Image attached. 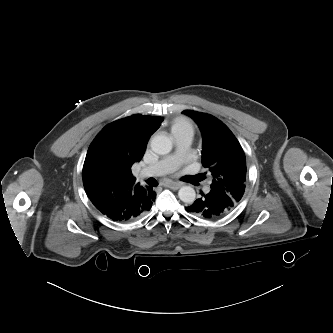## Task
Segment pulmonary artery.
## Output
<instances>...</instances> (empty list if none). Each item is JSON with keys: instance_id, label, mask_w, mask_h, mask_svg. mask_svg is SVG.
Wrapping results in <instances>:
<instances>
[{"instance_id": "e3ab8cb5", "label": "pulmonary artery", "mask_w": 333, "mask_h": 333, "mask_svg": "<svg viewBox=\"0 0 333 333\" xmlns=\"http://www.w3.org/2000/svg\"><path fill=\"white\" fill-rule=\"evenodd\" d=\"M173 136L176 145L175 152L150 166L142 168L138 174L140 179L169 173L187 158L193 139V132L184 131Z\"/></svg>"}]
</instances>
